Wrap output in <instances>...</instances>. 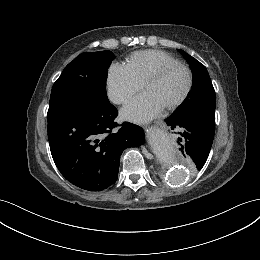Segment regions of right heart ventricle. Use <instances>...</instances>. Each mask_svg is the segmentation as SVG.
Wrapping results in <instances>:
<instances>
[{
	"mask_svg": "<svg viewBox=\"0 0 260 260\" xmlns=\"http://www.w3.org/2000/svg\"><path fill=\"white\" fill-rule=\"evenodd\" d=\"M180 63L174 56L161 50H142L134 52L126 60L125 66L140 84L164 66Z\"/></svg>",
	"mask_w": 260,
	"mask_h": 260,
	"instance_id": "obj_1",
	"label": "right heart ventricle"
}]
</instances>
